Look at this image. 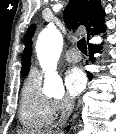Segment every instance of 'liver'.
<instances>
[{
	"label": "liver",
	"mask_w": 116,
	"mask_h": 134,
	"mask_svg": "<svg viewBox=\"0 0 116 134\" xmlns=\"http://www.w3.org/2000/svg\"><path fill=\"white\" fill-rule=\"evenodd\" d=\"M19 134H29V133L28 132L21 131V132H19ZM32 134H34V133H32ZM40 134H54V133H53V131L49 130V131H47V133L42 132Z\"/></svg>",
	"instance_id": "1"
}]
</instances>
